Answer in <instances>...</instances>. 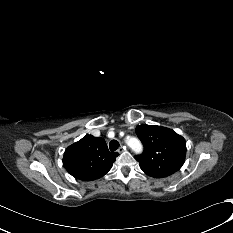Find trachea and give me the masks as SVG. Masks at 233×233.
Listing matches in <instances>:
<instances>
[{
    "mask_svg": "<svg viewBox=\"0 0 233 233\" xmlns=\"http://www.w3.org/2000/svg\"><path fill=\"white\" fill-rule=\"evenodd\" d=\"M118 146H119V143H118L117 140H112V141L109 143V148H110L111 151L117 150Z\"/></svg>",
    "mask_w": 233,
    "mask_h": 233,
    "instance_id": "trachea-1",
    "label": "trachea"
}]
</instances>
